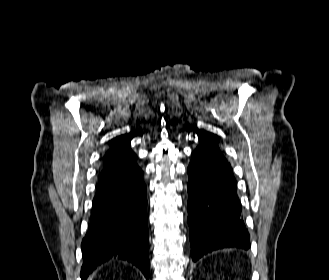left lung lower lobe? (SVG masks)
I'll use <instances>...</instances> for the list:
<instances>
[{"mask_svg":"<svg viewBox=\"0 0 329 280\" xmlns=\"http://www.w3.org/2000/svg\"><path fill=\"white\" fill-rule=\"evenodd\" d=\"M194 153L187 168L188 224L193 261L222 248L249 249L237 183L219 148Z\"/></svg>","mask_w":329,"mask_h":280,"instance_id":"left-lung-lower-lobe-1","label":"left lung lower lobe"}]
</instances>
